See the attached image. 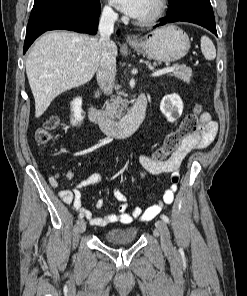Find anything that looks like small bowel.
<instances>
[{"label":"small bowel","instance_id":"c3829d8e","mask_svg":"<svg viewBox=\"0 0 247 296\" xmlns=\"http://www.w3.org/2000/svg\"><path fill=\"white\" fill-rule=\"evenodd\" d=\"M217 133V125L212 120L211 114L204 112L200 115V129L199 132L187 137L180 148L175 151L169 159L163 162H156L149 156H142L140 158L141 165L153 175L170 174L171 186L164 192L162 201L155 204H148L145 208L136 207L131 213L128 212L129 204L126 195L119 189L115 188L113 195L118 202L116 213H107L103 216H94L93 213L84 208L81 200V189L99 184L103 181V176L99 173H94L81 181L74 189H62L58 192L61 200L67 204L72 205L73 208L85 216L90 224L95 226H108L111 224H130L136 219L149 220L155 217L164 205H170L174 200V195L177 190V184L172 180L174 175L179 176V167L185 156L193 149H201L207 147L215 138ZM65 177L68 180L74 178L72 171H67ZM50 184L53 188L58 187V182L55 178L50 179ZM104 206V201L98 199L95 202V207L101 209Z\"/></svg>","mask_w":247,"mask_h":296}]
</instances>
